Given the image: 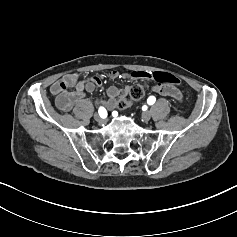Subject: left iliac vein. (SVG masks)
I'll return each mask as SVG.
<instances>
[{
  "instance_id": "1",
  "label": "left iliac vein",
  "mask_w": 237,
  "mask_h": 237,
  "mask_svg": "<svg viewBox=\"0 0 237 237\" xmlns=\"http://www.w3.org/2000/svg\"><path fill=\"white\" fill-rule=\"evenodd\" d=\"M151 118V114L148 111L142 113V120L143 122L147 123Z\"/></svg>"
}]
</instances>
